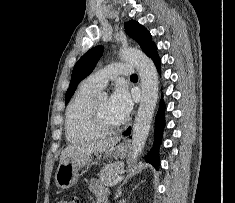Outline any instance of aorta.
Listing matches in <instances>:
<instances>
[{
    "mask_svg": "<svg viewBox=\"0 0 235 203\" xmlns=\"http://www.w3.org/2000/svg\"><path fill=\"white\" fill-rule=\"evenodd\" d=\"M123 61L131 63L141 79V101L132 129V160L142 152L158 100V74L153 61L143 52L125 48L120 52Z\"/></svg>",
    "mask_w": 235,
    "mask_h": 203,
    "instance_id": "1",
    "label": "aorta"
}]
</instances>
